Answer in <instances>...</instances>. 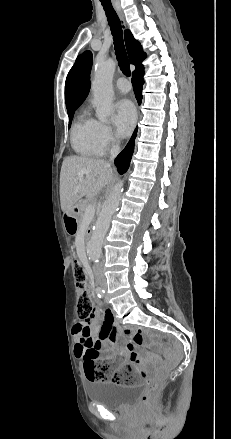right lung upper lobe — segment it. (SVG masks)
I'll use <instances>...</instances> for the list:
<instances>
[{"label":"right lung upper lobe","instance_id":"cb5924a9","mask_svg":"<svg viewBox=\"0 0 231 439\" xmlns=\"http://www.w3.org/2000/svg\"><path fill=\"white\" fill-rule=\"evenodd\" d=\"M125 44L130 63L136 69L142 67V61L146 58L140 43L134 39L129 30L124 32ZM92 67V53L86 51L68 73L65 84V99L67 110L78 108L87 97L90 90V71ZM135 69V70H136Z\"/></svg>","mask_w":231,"mask_h":439}]
</instances>
